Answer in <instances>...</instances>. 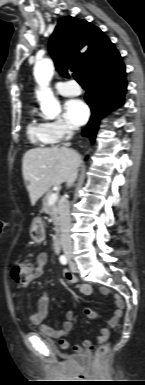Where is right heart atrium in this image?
Masks as SVG:
<instances>
[{"label":"right heart atrium","instance_id":"right-heart-atrium-1","mask_svg":"<svg viewBox=\"0 0 145 385\" xmlns=\"http://www.w3.org/2000/svg\"><path fill=\"white\" fill-rule=\"evenodd\" d=\"M46 124L52 143L60 142L74 130L73 126L63 119H57Z\"/></svg>","mask_w":145,"mask_h":385}]
</instances>
